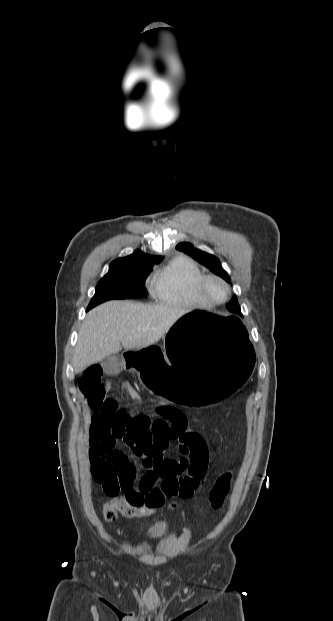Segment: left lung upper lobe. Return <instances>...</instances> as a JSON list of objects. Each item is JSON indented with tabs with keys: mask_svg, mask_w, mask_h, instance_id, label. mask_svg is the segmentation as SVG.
Returning a JSON list of instances; mask_svg holds the SVG:
<instances>
[{
	"mask_svg": "<svg viewBox=\"0 0 333 621\" xmlns=\"http://www.w3.org/2000/svg\"><path fill=\"white\" fill-rule=\"evenodd\" d=\"M176 249H178L179 251H183L184 253L190 255L200 264L210 269V271H212L214 274L222 277L225 281L230 282V277L221 267L220 261L215 256L210 255L201 250H198L194 248L192 244L186 243V242L179 243L176 246ZM227 309L233 314H238L242 316L240 306L238 304L236 296H234L231 299V301L228 303Z\"/></svg>",
	"mask_w": 333,
	"mask_h": 621,
	"instance_id": "1",
	"label": "left lung upper lobe"
}]
</instances>
